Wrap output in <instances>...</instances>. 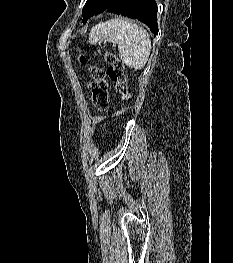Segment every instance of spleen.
Wrapping results in <instances>:
<instances>
[{
  "mask_svg": "<svg viewBox=\"0 0 233 263\" xmlns=\"http://www.w3.org/2000/svg\"><path fill=\"white\" fill-rule=\"evenodd\" d=\"M107 40L118 44L119 57L129 68L142 69L150 56L151 40L148 32L127 18H113L95 25L89 42Z\"/></svg>",
  "mask_w": 233,
  "mask_h": 263,
  "instance_id": "obj_1",
  "label": "spleen"
}]
</instances>
